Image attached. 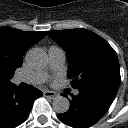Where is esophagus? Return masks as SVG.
Returning a JSON list of instances; mask_svg holds the SVG:
<instances>
[{
  "instance_id": "esophagus-1",
  "label": "esophagus",
  "mask_w": 128,
  "mask_h": 128,
  "mask_svg": "<svg viewBox=\"0 0 128 128\" xmlns=\"http://www.w3.org/2000/svg\"><path fill=\"white\" fill-rule=\"evenodd\" d=\"M43 95H44V97H48V98L54 99L57 96V93L54 92V91L45 90L43 92Z\"/></svg>"
}]
</instances>
